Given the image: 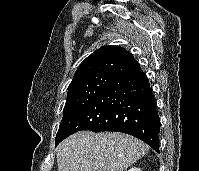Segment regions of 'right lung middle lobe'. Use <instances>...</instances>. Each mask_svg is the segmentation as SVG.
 <instances>
[{"label": "right lung middle lobe", "instance_id": "dd1d6c3e", "mask_svg": "<svg viewBox=\"0 0 199 171\" xmlns=\"http://www.w3.org/2000/svg\"><path fill=\"white\" fill-rule=\"evenodd\" d=\"M113 77L114 76L107 74L96 75L68 90L63 110V118L56 134L55 142H58L61 139L70 122L90 98Z\"/></svg>", "mask_w": 199, "mask_h": 171}]
</instances>
